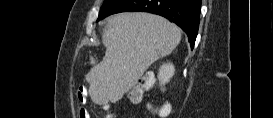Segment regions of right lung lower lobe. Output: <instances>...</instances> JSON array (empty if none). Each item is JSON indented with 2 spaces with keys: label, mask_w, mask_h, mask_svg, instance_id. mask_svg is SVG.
I'll return each instance as SVG.
<instances>
[{
  "label": "right lung lower lobe",
  "mask_w": 273,
  "mask_h": 118,
  "mask_svg": "<svg viewBox=\"0 0 273 118\" xmlns=\"http://www.w3.org/2000/svg\"><path fill=\"white\" fill-rule=\"evenodd\" d=\"M201 0H123L110 15L120 12H150L169 19L187 34L194 47L200 22Z\"/></svg>",
  "instance_id": "98d812e1"
}]
</instances>
